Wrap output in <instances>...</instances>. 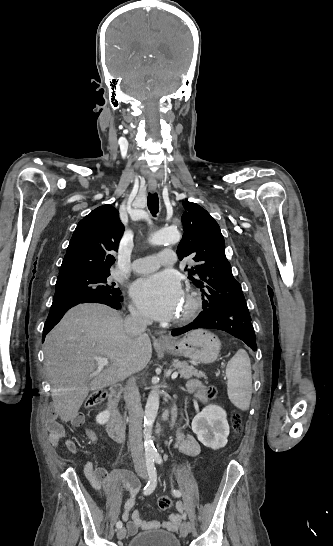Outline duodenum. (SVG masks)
Masks as SVG:
<instances>
[{"label": "duodenum", "instance_id": "1", "mask_svg": "<svg viewBox=\"0 0 333 546\" xmlns=\"http://www.w3.org/2000/svg\"><path fill=\"white\" fill-rule=\"evenodd\" d=\"M122 392L120 386H112L108 395L107 410L109 419L107 430L116 442L123 443L126 440V426L118 410V402Z\"/></svg>", "mask_w": 333, "mask_h": 546}]
</instances>
